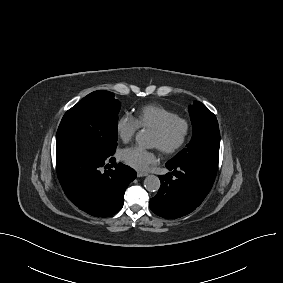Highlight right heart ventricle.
Segmentation results:
<instances>
[{
	"mask_svg": "<svg viewBox=\"0 0 283 283\" xmlns=\"http://www.w3.org/2000/svg\"><path fill=\"white\" fill-rule=\"evenodd\" d=\"M176 115L174 111L162 105L148 104L137 111L135 119L139 127L154 130Z\"/></svg>",
	"mask_w": 283,
	"mask_h": 283,
	"instance_id": "right-heart-ventricle-1",
	"label": "right heart ventricle"
}]
</instances>
